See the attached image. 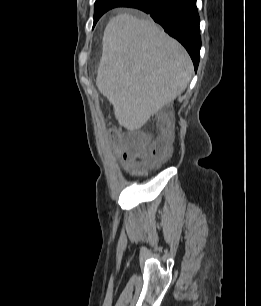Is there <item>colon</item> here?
Masks as SVG:
<instances>
[{"instance_id":"1","label":"colon","mask_w":261,"mask_h":306,"mask_svg":"<svg viewBox=\"0 0 261 306\" xmlns=\"http://www.w3.org/2000/svg\"><path fill=\"white\" fill-rule=\"evenodd\" d=\"M171 121L165 114H160L157 119V127L160 130L153 149L152 157L156 162H162L167 159L169 154V141L171 138ZM146 139L136 134L130 135L124 142V148L130 158L140 157L143 153Z\"/></svg>"}]
</instances>
